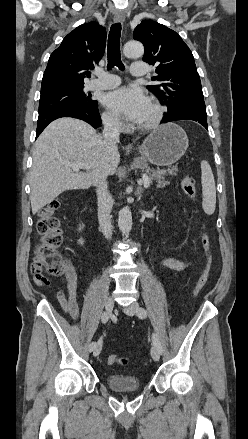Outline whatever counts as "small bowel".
<instances>
[{"mask_svg":"<svg viewBox=\"0 0 248 439\" xmlns=\"http://www.w3.org/2000/svg\"><path fill=\"white\" fill-rule=\"evenodd\" d=\"M191 265L190 262H185L177 258H166L162 261V266L178 274ZM31 273L33 280L37 286H43L49 284V281L41 273L39 266L33 262L31 265ZM67 275V289L66 292L58 289L57 299L65 313H67L72 319L76 320L79 317V306L77 302V275L74 267L70 262L66 267Z\"/></svg>","mask_w":248,"mask_h":439,"instance_id":"c3829d8e","label":"small bowel"}]
</instances>
